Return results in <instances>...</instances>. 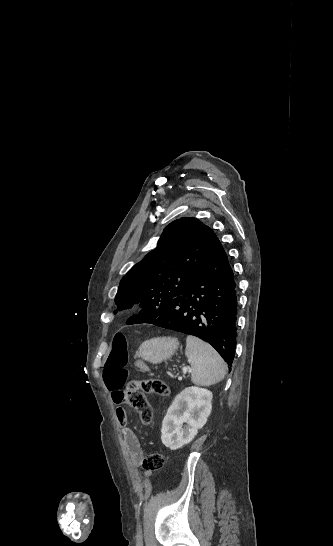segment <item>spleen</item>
I'll return each mask as SVG.
<instances>
[{
	"instance_id": "obj_1",
	"label": "spleen",
	"mask_w": 333,
	"mask_h": 546,
	"mask_svg": "<svg viewBox=\"0 0 333 546\" xmlns=\"http://www.w3.org/2000/svg\"><path fill=\"white\" fill-rule=\"evenodd\" d=\"M185 355L190 364L191 380L196 385L209 386L220 382L226 374V364L221 356L201 339L186 338Z\"/></svg>"
}]
</instances>
